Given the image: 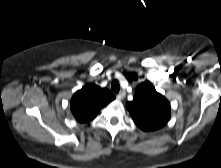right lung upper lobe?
Listing matches in <instances>:
<instances>
[{"label": "right lung upper lobe", "instance_id": "1", "mask_svg": "<svg viewBox=\"0 0 221 168\" xmlns=\"http://www.w3.org/2000/svg\"><path fill=\"white\" fill-rule=\"evenodd\" d=\"M114 99L115 95L110 90L88 84L73 95L70 108L78 122H88L97 116L103 106Z\"/></svg>", "mask_w": 221, "mask_h": 168}]
</instances>
